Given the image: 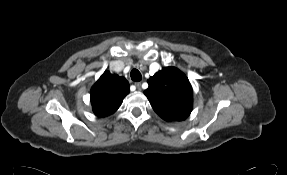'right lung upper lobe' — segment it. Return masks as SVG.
Returning a JSON list of instances; mask_svg holds the SVG:
<instances>
[{
    "label": "right lung upper lobe",
    "mask_w": 287,
    "mask_h": 175,
    "mask_svg": "<svg viewBox=\"0 0 287 175\" xmlns=\"http://www.w3.org/2000/svg\"><path fill=\"white\" fill-rule=\"evenodd\" d=\"M129 83L124 77L105 71L91 88V104L98 117L113 114L129 93Z\"/></svg>",
    "instance_id": "right-lung-upper-lobe-1"
}]
</instances>
